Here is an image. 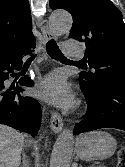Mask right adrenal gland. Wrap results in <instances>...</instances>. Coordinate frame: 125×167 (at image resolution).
Listing matches in <instances>:
<instances>
[{
    "label": "right adrenal gland",
    "instance_id": "right-adrenal-gland-1",
    "mask_svg": "<svg viewBox=\"0 0 125 167\" xmlns=\"http://www.w3.org/2000/svg\"><path fill=\"white\" fill-rule=\"evenodd\" d=\"M21 167H29V162L25 154L22 155V166Z\"/></svg>",
    "mask_w": 125,
    "mask_h": 167
}]
</instances>
